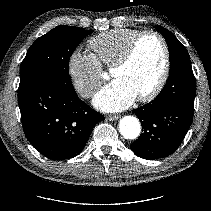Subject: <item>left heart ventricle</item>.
Segmentation results:
<instances>
[{
  "mask_svg": "<svg viewBox=\"0 0 211 211\" xmlns=\"http://www.w3.org/2000/svg\"><path fill=\"white\" fill-rule=\"evenodd\" d=\"M163 68V48L153 36L144 37L134 58L124 68L111 73L125 82L138 96L149 92L157 83Z\"/></svg>",
  "mask_w": 211,
  "mask_h": 211,
  "instance_id": "1",
  "label": "left heart ventricle"
}]
</instances>
